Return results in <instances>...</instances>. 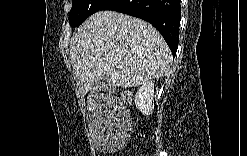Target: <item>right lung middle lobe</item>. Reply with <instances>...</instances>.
<instances>
[{
	"instance_id": "right-lung-middle-lobe-1",
	"label": "right lung middle lobe",
	"mask_w": 247,
	"mask_h": 156,
	"mask_svg": "<svg viewBox=\"0 0 247 156\" xmlns=\"http://www.w3.org/2000/svg\"><path fill=\"white\" fill-rule=\"evenodd\" d=\"M108 0H72L69 23L72 27L79 26L90 15L99 11Z\"/></svg>"
}]
</instances>
